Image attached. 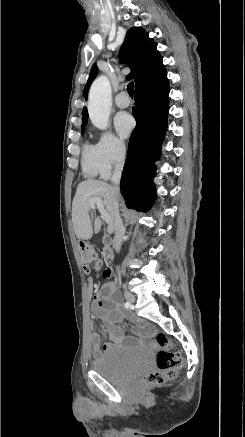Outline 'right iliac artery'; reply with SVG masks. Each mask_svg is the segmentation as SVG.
Instances as JSON below:
<instances>
[{"label":"right iliac artery","mask_w":245,"mask_h":437,"mask_svg":"<svg viewBox=\"0 0 245 437\" xmlns=\"http://www.w3.org/2000/svg\"><path fill=\"white\" fill-rule=\"evenodd\" d=\"M124 306H125L126 308H129L131 305H130L129 302H126V303L124 304Z\"/></svg>","instance_id":"82829eb1"}]
</instances>
